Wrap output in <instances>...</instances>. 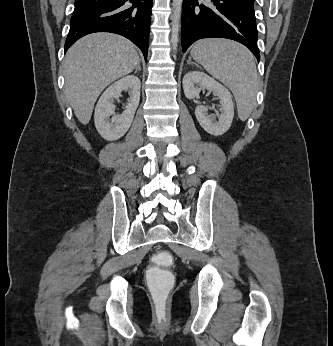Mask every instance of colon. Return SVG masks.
<instances>
[{"label":"colon","mask_w":333,"mask_h":346,"mask_svg":"<svg viewBox=\"0 0 333 346\" xmlns=\"http://www.w3.org/2000/svg\"><path fill=\"white\" fill-rule=\"evenodd\" d=\"M172 267V256L168 252L162 251L152 257L150 269H145L153 310H165L168 306V292L176 286L171 275Z\"/></svg>","instance_id":"5ec220e1"}]
</instances>
